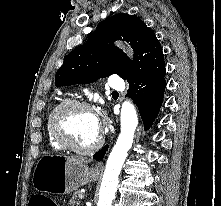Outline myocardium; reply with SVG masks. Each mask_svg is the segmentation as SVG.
I'll list each match as a JSON object with an SVG mask.
<instances>
[{"mask_svg":"<svg viewBox=\"0 0 221 206\" xmlns=\"http://www.w3.org/2000/svg\"><path fill=\"white\" fill-rule=\"evenodd\" d=\"M71 108H84L95 114L93 106L86 101L78 99L65 100L59 105H57L51 113L49 121L51 133L54 139L64 148L77 154H92L101 146L103 142L102 134L99 132V136L96 139V141L88 147H79L76 144H74L69 135L63 130L61 126V120L63 115L66 113L67 110Z\"/></svg>","mask_w":221,"mask_h":206,"instance_id":"1","label":"myocardium"}]
</instances>
